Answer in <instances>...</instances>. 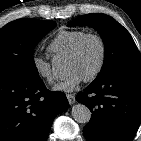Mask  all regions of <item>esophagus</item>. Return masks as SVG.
<instances>
[{"instance_id": "1", "label": "esophagus", "mask_w": 141, "mask_h": 141, "mask_svg": "<svg viewBox=\"0 0 141 141\" xmlns=\"http://www.w3.org/2000/svg\"><path fill=\"white\" fill-rule=\"evenodd\" d=\"M66 97L68 99L69 104H74L75 103L76 99H75V96L74 95L67 94Z\"/></svg>"}]
</instances>
